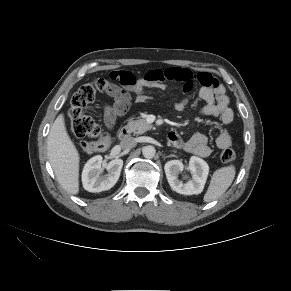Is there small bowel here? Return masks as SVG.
I'll list each match as a JSON object with an SVG mask.
<instances>
[{"instance_id":"obj_1","label":"small bowel","mask_w":291,"mask_h":291,"mask_svg":"<svg viewBox=\"0 0 291 291\" xmlns=\"http://www.w3.org/2000/svg\"><path fill=\"white\" fill-rule=\"evenodd\" d=\"M110 78L119 80L123 87L112 85L107 92L114 101L112 105H107L104 108L107 125L111 126L118 116L127 112L131 105V94L136 95V103H143L150 98L149 92L151 90L163 91L165 81H177L183 84L185 96L174 104L175 110L183 111L191 100L190 93L194 84L198 82L201 85L198 98L205 102V105L198 111L199 115L218 118L222 129L216 138V144L221 149L231 145L232 140L228 126L233 121L234 113L229 106V98L225 87L218 83L210 73L194 74L187 68L171 67L149 70L141 78H136L128 71H114L111 72ZM168 139L175 147L198 156L206 157L211 151L208 138L202 133H196L189 139L184 140L177 132H170Z\"/></svg>"}]
</instances>
